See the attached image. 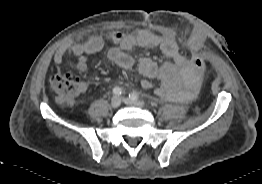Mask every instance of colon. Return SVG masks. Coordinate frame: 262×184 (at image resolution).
<instances>
[{
    "label": "colon",
    "mask_w": 262,
    "mask_h": 184,
    "mask_svg": "<svg viewBox=\"0 0 262 184\" xmlns=\"http://www.w3.org/2000/svg\"><path fill=\"white\" fill-rule=\"evenodd\" d=\"M189 63L194 69L202 73L207 70L206 61L194 52L190 53ZM50 86L58 95L60 101L66 103H72L80 92V83L78 79L70 73L53 75L50 78Z\"/></svg>",
    "instance_id": "obj_1"
}]
</instances>
